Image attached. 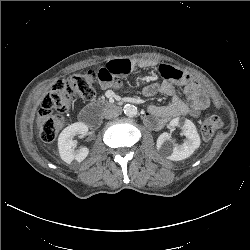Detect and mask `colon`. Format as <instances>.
<instances>
[{"label":"colon","mask_w":250,"mask_h":250,"mask_svg":"<svg viewBox=\"0 0 250 250\" xmlns=\"http://www.w3.org/2000/svg\"><path fill=\"white\" fill-rule=\"evenodd\" d=\"M96 79L94 71H87L59 80L53 85L44 97L37 116V126L44 142H52L65 124L64 118L54 112H68L77 97L92 99L95 96ZM221 127V118L212 114L201 122V135L204 139H210Z\"/></svg>","instance_id":"colon-1"}]
</instances>
